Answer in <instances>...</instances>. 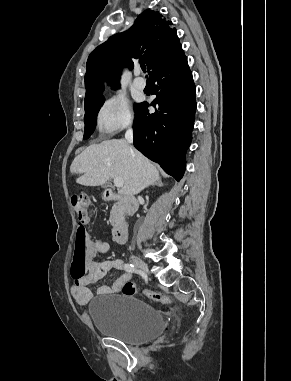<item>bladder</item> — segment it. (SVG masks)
Returning <instances> with one entry per match:
<instances>
[{
    "instance_id": "obj_1",
    "label": "bladder",
    "mask_w": 291,
    "mask_h": 381,
    "mask_svg": "<svg viewBox=\"0 0 291 381\" xmlns=\"http://www.w3.org/2000/svg\"><path fill=\"white\" fill-rule=\"evenodd\" d=\"M88 312L95 329L129 344L154 340L165 330L163 316L147 302L132 295H98Z\"/></svg>"
}]
</instances>
